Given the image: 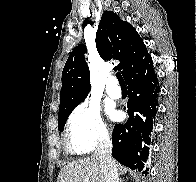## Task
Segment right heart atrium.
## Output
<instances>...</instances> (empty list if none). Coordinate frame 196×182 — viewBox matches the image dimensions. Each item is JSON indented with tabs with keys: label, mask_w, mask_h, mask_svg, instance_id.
<instances>
[{
	"label": "right heart atrium",
	"mask_w": 196,
	"mask_h": 182,
	"mask_svg": "<svg viewBox=\"0 0 196 182\" xmlns=\"http://www.w3.org/2000/svg\"><path fill=\"white\" fill-rule=\"evenodd\" d=\"M67 135L70 150L77 154L89 153L110 138L99 107L90 101L82 102L72 111Z\"/></svg>",
	"instance_id": "right-heart-atrium-1"
}]
</instances>
